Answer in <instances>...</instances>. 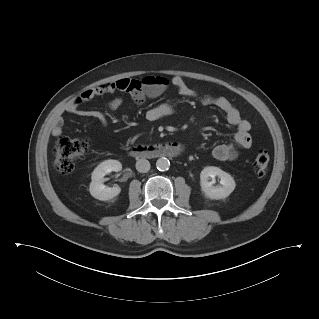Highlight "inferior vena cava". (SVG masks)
<instances>
[{"label":"inferior vena cava","instance_id":"inferior-vena-cava-1","mask_svg":"<svg viewBox=\"0 0 319 319\" xmlns=\"http://www.w3.org/2000/svg\"><path fill=\"white\" fill-rule=\"evenodd\" d=\"M136 169L140 173H146L150 170V163L146 159H139L136 162Z\"/></svg>","mask_w":319,"mask_h":319}]
</instances>
